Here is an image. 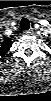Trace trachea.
Here are the masks:
<instances>
[{"instance_id":"obj_1","label":"trachea","mask_w":51,"mask_h":101,"mask_svg":"<svg viewBox=\"0 0 51 101\" xmlns=\"http://www.w3.org/2000/svg\"><path fill=\"white\" fill-rule=\"evenodd\" d=\"M20 27L22 30H28L30 28L29 20L26 18H23L20 22Z\"/></svg>"}]
</instances>
